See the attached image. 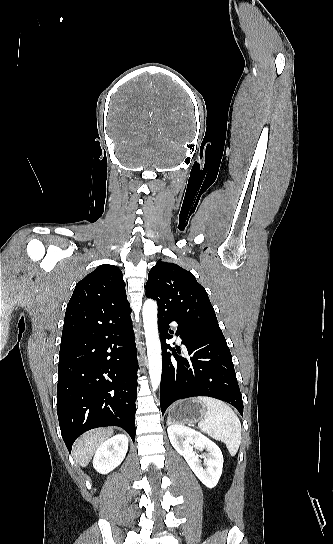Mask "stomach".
Returning <instances> with one entry per match:
<instances>
[{
  "instance_id": "stomach-1",
  "label": "stomach",
  "mask_w": 333,
  "mask_h": 544,
  "mask_svg": "<svg viewBox=\"0 0 333 544\" xmlns=\"http://www.w3.org/2000/svg\"><path fill=\"white\" fill-rule=\"evenodd\" d=\"M206 410L197 399L180 401L170 408L168 419L173 423H195L203 418Z\"/></svg>"
}]
</instances>
